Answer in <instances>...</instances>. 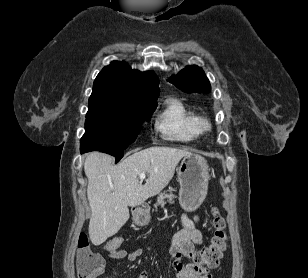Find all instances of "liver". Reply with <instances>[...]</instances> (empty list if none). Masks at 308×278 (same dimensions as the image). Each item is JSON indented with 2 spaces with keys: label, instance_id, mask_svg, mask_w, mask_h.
Instances as JSON below:
<instances>
[{
  "label": "liver",
  "instance_id": "obj_1",
  "mask_svg": "<svg viewBox=\"0 0 308 278\" xmlns=\"http://www.w3.org/2000/svg\"><path fill=\"white\" fill-rule=\"evenodd\" d=\"M191 153L170 147H150L135 152L118 165L114 158L91 152L84 162L91 208L89 236L94 245L115 235L129 219V206H137L162 191L174 176L179 161ZM147 173L146 183L138 179Z\"/></svg>",
  "mask_w": 308,
  "mask_h": 278
}]
</instances>
